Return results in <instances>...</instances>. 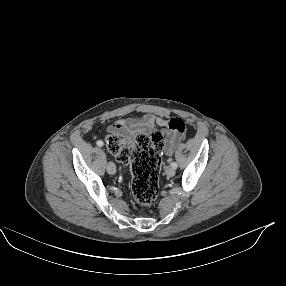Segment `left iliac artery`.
Wrapping results in <instances>:
<instances>
[{
  "mask_svg": "<svg viewBox=\"0 0 286 286\" xmlns=\"http://www.w3.org/2000/svg\"><path fill=\"white\" fill-rule=\"evenodd\" d=\"M171 166H172L174 169H176L178 165H177L176 162H172V163H171Z\"/></svg>",
  "mask_w": 286,
  "mask_h": 286,
  "instance_id": "left-iliac-artery-1",
  "label": "left iliac artery"
}]
</instances>
